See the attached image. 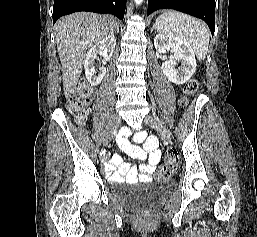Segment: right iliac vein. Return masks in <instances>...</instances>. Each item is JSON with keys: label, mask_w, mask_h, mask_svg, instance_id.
I'll return each instance as SVG.
<instances>
[{"label": "right iliac vein", "mask_w": 257, "mask_h": 237, "mask_svg": "<svg viewBox=\"0 0 257 237\" xmlns=\"http://www.w3.org/2000/svg\"><path fill=\"white\" fill-rule=\"evenodd\" d=\"M120 123H121L120 116L115 114L112 117L110 125H109V127L107 129V132L105 134V138H104V141H103V144L105 146H107L110 143V141L112 140L113 136L115 135V133L117 132V130L120 126Z\"/></svg>", "instance_id": "right-iliac-vein-1"}]
</instances>
